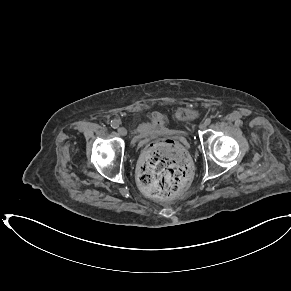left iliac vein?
<instances>
[{"mask_svg": "<svg viewBox=\"0 0 291 291\" xmlns=\"http://www.w3.org/2000/svg\"><path fill=\"white\" fill-rule=\"evenodd\" d=\"M206 127H207V124H206L205 122H203V123H201V124L199 125V129H200V130H205Z\"/></svg>", "mask_w": 291, "mask_h": 291, "instance_id": "4c4485c4", "label": "left iliac vein"}]
</instances>
